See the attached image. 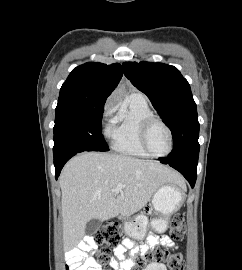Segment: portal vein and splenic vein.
Segmentation results:
<instances>
[{"instance_id": "18ae733b", "label": "portal vein and splenic vein", "mask_w": 242, "mask_h": 270, "mask_svg": "<svg viewBox=\"0 0 242 270\" xmlns=\"http://www.w3.org/2000/svg\"><path fill=\"white\" fill-rule=\"evenodd\" d=\"M124 185L122 183H118L116 188L113 190L115 193H119L122 191Z\"/></svg>"}]
</instances>
